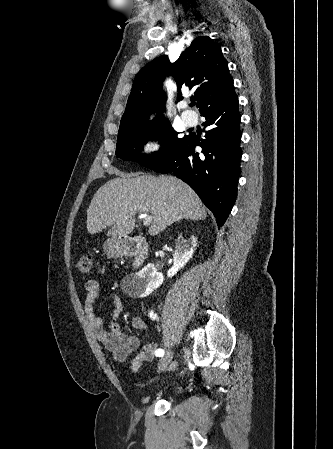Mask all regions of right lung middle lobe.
Wrapping results in <instances>:
<instances>
[{
    "label": "right lung middle lobe",
    "mask_w": 333,
    "mask_h": 449,
    "mask_svg": "<svg viewBox=\"0 0 333 449\" xmlns=\"http://www.w3.org/2000/svg\"><path fill=\"white\" fill-rule=\"evenodd\" d=\"M120 133H123L124 137L117 140L116 156L124 160L138 162L140 165L152 169L168 159L187 138V136L179 138L178 132L167 121L145 129L123 130L120 127ZM151 137L163 138L160 141V150L152 155L140 154L143 145Z\"/></svg>",
    "instance_id": "1"
}]
</instances>
